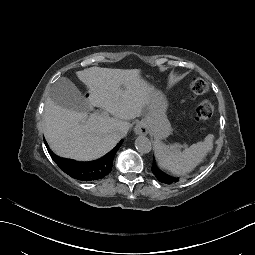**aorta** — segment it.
<instances>
[{"label":"aorta","instance_id":"1","mask_svg":"<svg viewBox=\"0 0 255 255\" xmlns=\"http://www.w3.org/2000/svg\"><path fill=\"white\" fill-rule=\"evenodd\" d=\"M135 147H136L138 152L143 153V154H147L152 149V143L147 137L139 136L135 140Z\"/></svg>","mask_w":255,"mask_h":255}]
</instances>
